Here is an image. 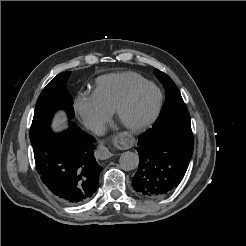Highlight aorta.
<instances>
[{"label":"aorta","instance_id":"obj_1","mask_svg":"<svg viewBox=\"0 0 246 246\" xmlns=\"http://www.w3.org/2000/svg\"><path fill=\"white\" fill-rule=\"evenodd\" d=\"M119 163L122 169L133 170L138 167L139 157L136 153L127 151L121 154Z\"/></svg>","mask_w":246,"mask_h":246}]
</instances>
